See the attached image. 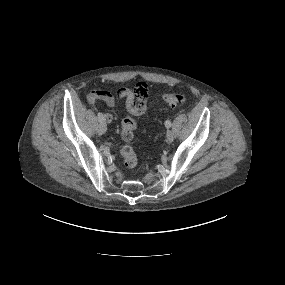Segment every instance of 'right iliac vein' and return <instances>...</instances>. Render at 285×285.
Returning <instances> with one entry per match:
<instances>
[{"label": "right iliac vein", "mask_w": 285, "mask_h": 285, "mask_svg": "<svg viewBox=\"0 0 285 285\" xmlns=\"http://www.w3.org/2000/svg\"><path fill=\"white\" fill-rule=\"evenodd\" d=\"M97 132L99 135H102L106 132V125L104 122H100V124L98 125V128H97Z\"/></svg>", "instance_id": "63e3f726"}]
</instances>
